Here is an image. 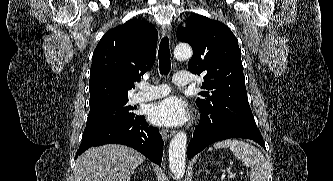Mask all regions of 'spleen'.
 Returning <instances> with one entry per match:
<instances>
[{
  "label": "spleen",
  "mask_w": 333,
  "mask_h": 181,
  "mask_svg": "<svg viewBox=\"0 0 333 181\" xmlns=\"http://www.w3.org/2000/svg\"><path fill=\"white\" fill-rule=\"evenodd\" d=\"M214 149L229 148L244 166L250 167V181H267L269 167L263 154L254 146L241 140H224L213 145ZM209 148V151L213 149Z\"/></svg>",
  "instance_id": "3e777b00"
}]
</instances>
